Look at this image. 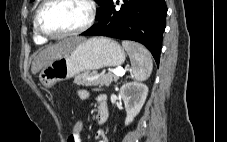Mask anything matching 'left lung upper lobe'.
Wrapping results in <instances>:
<instances>
[{"label":"left lung upper lobe","mask_w":227,"mask_h":142,"mask_svg":"<svg viewBox=\"0 0 227 142\" xmlns=\"http://www.w3.org/2000/svg\"><path fill=\"white\" fill-rule=\"evenodd\" d=\"M33 1V0H31ZM97 3L100 4L101 8L99 11L96 12V17L99 18L102 10L106 7V5L109 3L110 0H95Z\"/></svg>","instance_id":"5c2ea615"}]
</instances>
